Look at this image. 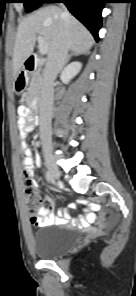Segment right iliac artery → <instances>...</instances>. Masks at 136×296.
I'll return each instance as SVG.
<instances>
[{
  "instance_id": "right-iliac-artery-1",
  "label": "right iliac artery",
  "mask_w": 136,
  "mask_h": 296,
  "mask_svg": "<svg viewBox=\"0 0 136 296\" xmlns=\"http://www.w3.org/2000/svg\"><path fill=\"white\" fill-rule=\"evenodd\" d=\"M46 179L48 182H52V177H51L49 171L46 172Z\"/></svg>"
}]
</instances>
